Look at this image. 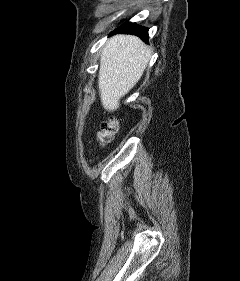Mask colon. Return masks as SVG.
I'll return each instance as SVG.
<instances>
[{
	"label": "colon",
	"instance_id": "5ec220e1",
	"mask_svg": "<svg viewBox=\"0 0 240 281\" xmlns=\"http://www.w3.org/2000/svg\"><path fill=\"white\" fill-rule=\"evenodd\" d=\"M117 131V123L114 120L102 122L100 130L97 133V140L101 146L108 145L114 138Z\"/></svg>",
	"mask_w": 240,
	"mask_h": 281
}]
</instances>
